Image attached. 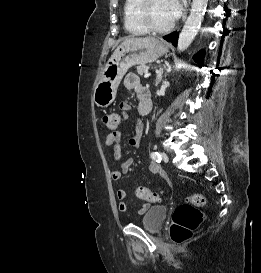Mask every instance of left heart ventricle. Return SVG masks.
<instances>
[{"label":"left heart ventricle","instance_id":"left-heart-ventricle-1","mask_svg":"<svg viewBox=\"0 0 261 273\" xmlns=\"http://www.w3.org/2000/svg\"><path fill=\"white\" fill-rule=\"evenodd\" d=\"M150 13L157 26H166L174 21L169 0H153Z\"/></svg>","mask_w":261,"mask_h":273}]
</instances>
